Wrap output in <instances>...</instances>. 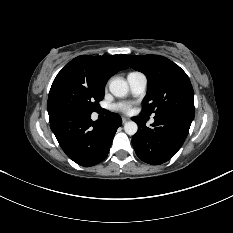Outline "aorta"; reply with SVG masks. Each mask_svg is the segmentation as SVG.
I'll return each mask as SVG.
<instances>
[{
  "label": "aorta",
  "mask_w": 233,
  "mask_h": 233,
  "mask_svg": "<svg viewBox=\"0 0 233 233\" xmlns=\"http://www.w3.org/2000/svg\"><path fill=\"white\" fill-rule=\"evenodd\" d=\"M109 90L115 97H125L129 91L128 83L120 78L113 79L109 84ZM124 130L128 135H134L138 130V125L134 121L126 122Z\"/></svg>",
  "instance_id": "obj_1"
}]
</instances>
